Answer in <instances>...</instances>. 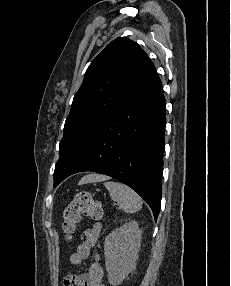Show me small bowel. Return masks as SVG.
<instances>
[{
	"label": "small bowel",
	"mask_w": 231,
	"mask_h": 286,
	"mask_svg": "<svg viewBox=\"0 0 231 286\" xmlns=\"http://www.w3.org/2000/svg\"><path fill=\"white\" fill-rule=\"evenodd\" d=\"M101 229V224L96 222L82 233L81 243L69 257V264L73 269L79 268L82 262L89 258L100 236ZM63 284L64 286H105L98 252L93 251V259L86 273L69 274L64 278Z\"/></svg>",
	"instance_id": "1"
}]
</instances>
